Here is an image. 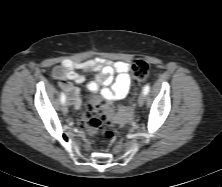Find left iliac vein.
Returning <instances> with one entry per match:
<instances>
[{
    "instance_id": "4c4485c4",
    "label": "left iliac vein",
    "mask_w": 222,
    "mask_h": 187,
    "mask_svg": "<svg viewBox=\"0 0 222 187\" xmlns=\"http://www.w3.org/2000/svg\"><path fill=\"white\" fill-rule=\"evenodd\" d=\"M145 99H146V94H144V92H143V93H141V94L139 95L138 105H139V106H143V104H144V102H145Z\"/></svg>"
}]
</instances>
